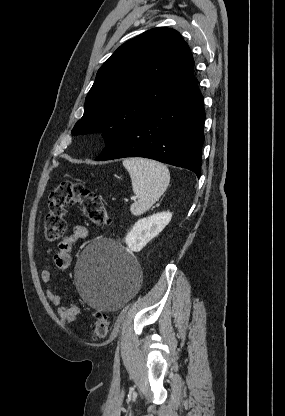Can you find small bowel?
I'll return each instance as SVG.
<instances>
[{
    "label": "small bowel",
    "instance_id": "1",
    "mask_svg": "<svg viewBox=\"0 0 285 416\" xmlns=\"http://www.w3.org/2000/svg\"><path fill=\"white\" fill-rule=\"evenodd\" d=\"M88 234L87 227L84 225H77L72 232L68 234L55 248L49 249V253H54L52 260L53 264L58 269H67L71 264V251L73 247L80 241L86 238ZM41 280L44 283H50L52 280V273L49 268H45L41 272ZM48 300L58 307L57 315L59 320L64 323H72L80 316V308L74 301H69L63 304V299L59 293L53 288H48L46 292Z\"/></svg>",
    "mask_w": 285,
    "mask_h": 416
}]
</instances>
